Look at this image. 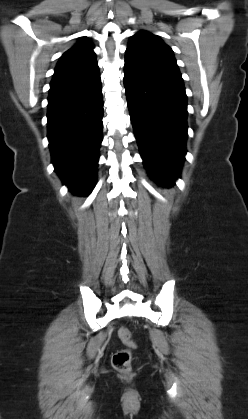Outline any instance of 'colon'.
Listing matches in <instances>:
<instances>
[{
	"label": "colon",
	"mask_w": 248,
	"mask_h": 419,
	"mask_svg": "<svg viewBox=\"0 0 248 419\" xmlns=\"http://www.w3.org/2000/svg\"><path fill=\"white\" fill-rule=\"evenodd\" d=\"M118 336L127 348L118 350L113 354L112 365L117 371L128 373L131 369L132 350L136 347V343L127 328H120Z\"/></svg>",
	"instance_id": "1"
}]
</instances>
